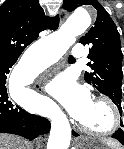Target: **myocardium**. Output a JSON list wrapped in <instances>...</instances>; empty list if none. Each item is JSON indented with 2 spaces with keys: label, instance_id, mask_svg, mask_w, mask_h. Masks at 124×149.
Returning <instances> with one entry per match:
<instances>
[{
  "label": "myocardium",
  "instance_id": "1",
  "mask_svg": "<svg viewBox=\"0 0 124 149\" xmlns=\"http://www.w3.org/2000/svg\"><path fill=\"white\" fill-rule=\"evenodd\" d=\"M94 101L102 102L108 106L111 112V117H112L111 126L105 131H95L93 129H90L83 123L79 122L80 129L86 134L94 136V137L102 138V137H108V136L113 135L118 130L120 123H121V113H120L118 106L114 103V101L111 98L104 96V95L96 96L94 98Z\"/></svg>",
  "mask_w": 124,
  "mask_h": 149
}]
</instances>
